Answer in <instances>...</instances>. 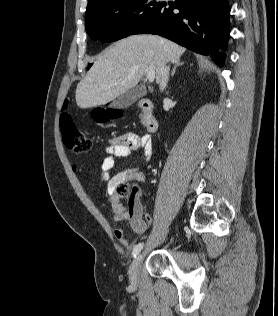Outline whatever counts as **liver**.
Here are the masks:
<instances>
[{"instance_id": "1", "label": "liver", "mask_w": 278, "mask_h": 316, "mask_svg": "<svg viewBox=\"0 0 278 316\" xmlns=\"http://www.w3.org/2000/svg\"><path fill=\"white\" fill-rule=\"evenodd\" d=\"M185 49L154 35H134L107 48L94 62L76 88L80 108L105 105L136 86L150 70L161 80L162 69L169 61L180 59Z\"/></svg>"}]
</instances>
